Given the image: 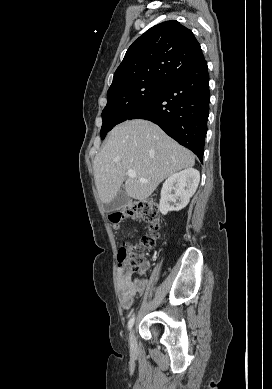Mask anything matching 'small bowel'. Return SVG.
Instances as JSON below:
<instances>
[{
    "instance_id": "1",
    "label": "small bowel",
    "mask_w": 272,
    "mask_h": 389,
    "mask_svg": "<svg viewBox=\"0 0 272 389\" xmlns=\"http://www.w3.org/2000/svg\"><path fill=\"white\" fill-rule=\"evenodd\" d=\"M149 268V263L145 262L140 273H144ZM145 289V283L138 279H133L130 275H122L119 271L118 293L121 305L124 309H129L137 296Z\"/></svg>"
}]
</instances>
